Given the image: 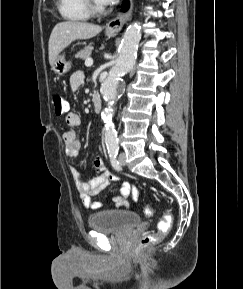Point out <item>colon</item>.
I'll return each instance as SVG.
<instances>
[{
	"label": "colon",
	"instance_id": "1",
	"mask_svg": "<svg viewBox=\"0 0 243 289\" xmlns=\"http://www.w3.org/2000/svg\"><path fill=\"white\" fill-rule=\"evenodd\" d=\"M52 102L55 114L57 116H62L66 112V101L64 97L61 95H55ZM144 214L146 216H151L153 214V209L150 206H146L144 208ZM171 225L172 215L167 212L160 219L157 231L154 233L146 234L141 238L140 247L146 248L158 242L164 235H166L170 231Z\"/></svg>",
	"mask_w": 243,
	"mask_h": 289
}]
</instances>
